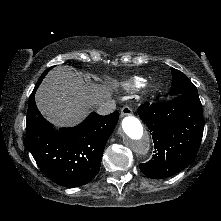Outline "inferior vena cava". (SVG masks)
<instances>
[{
	"instance_id": "inferior-vena-cava-1",
	"label": "inferior vena cava",
	"mask_w": 221,
	"mask_h": 221,
	"mask_svg": "<svg viewBox=\"0 0 221 221\" xmlns=\"http://www.w3.org/2000/svg\"><path fill=\"white\" fill-rule=\"evenodd\" d=\"M116 109V103L114 100H107L103 102L98 108L97 113L100 115H108Z\"/></svg>"
}]
</instances>
